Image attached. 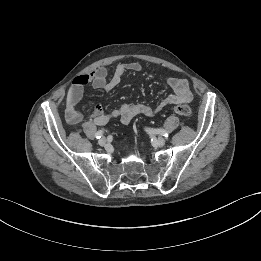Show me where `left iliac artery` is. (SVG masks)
<instances>
[{
	"instance_id": "1",
	"label": "left iliac artery",
	"mask_w": 261,
	"mask_h": 261,
	"mask_svg": "<svg viewBox=\"0 0 261 261\" xmlns=\"http://www.w3.org/2000/svg\"><path fill=\"white\" fill-rule=\"evenodd\" d=\"M148 132L150 134H159V135H162L164 137H168V133L164 130V129H149Z\"/></svg>"
}]
</instances>
